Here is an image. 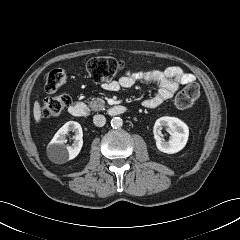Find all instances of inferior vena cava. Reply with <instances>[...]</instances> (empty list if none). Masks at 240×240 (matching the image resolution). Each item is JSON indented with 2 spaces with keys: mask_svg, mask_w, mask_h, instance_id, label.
<instances>
[{
  "mask_svg": "<svg viewBox=\"0 0 240 240\" xmlns=\"http://www.w3.org/2000/svg\"><path fill=\"white\" fill-rule=\"evenodd\" d=\"M93 123H94V125L97 126V127H102V126H104L105 123H106V118L104 117V115H101V114L95 115V116L93 117Z\"/></svg>",
  "mask_w": 240,
  "mask_h": 240,
  "instance_id": "1",
  "label": "inferior vena cava"
}]
</instances>
